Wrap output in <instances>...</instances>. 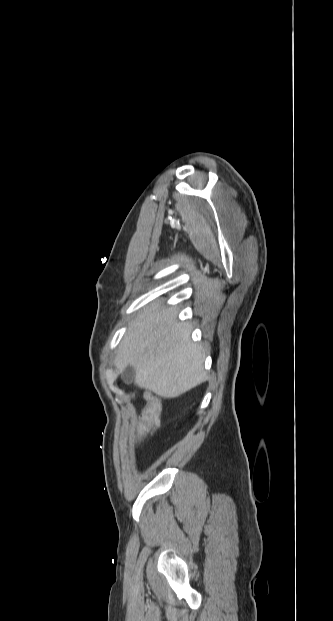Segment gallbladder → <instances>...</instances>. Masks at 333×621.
I'll return each instance as SVG.
<instances>
[{"label": "gallbladder", "instance_id": "gallbladder-1", "mask_svg": "<svg viewBox=\"0 0 333 621\" xmlns=\"http://www.w3.org/2000/svg\"><path fill=\"white\" fill-rule=\"evenodd\" d=\"M122 379L126 384H131L135 378V370L134 368L128 366L122 372Z\"/></svg>", "mask_w": 333, "mask_h": 621}]
</instances>
